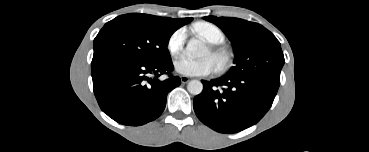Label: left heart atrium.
<instances>
[{
	"label": "left heart atrium",
	"mask_w": 369,
	"mask_h": 152,
	"mask_svg": "<svg viewBox=\"0 0 369 152\" xmlns=\"http://www.w3.org/2000/svg\"><path fill=\"white\" fill-rule=\"evenodd\" d=\"M217 61L213 56L201 59L184 57L175 62V69L184 76H205L217 70Z\"/></svg>",
	"instance_id": "obj_1"
}]
</instances>
